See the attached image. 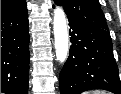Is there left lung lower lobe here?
<instances>
[{
	"mask_svg": "<svg viewBox=\"0 0 121 94\" xmlns=\"http://www.w3.org/2000/svg\"><path fill=\"white\" fill-rule=\"evenodd\" d=\"M68 20L71 46L60 72V94H81L91 89L121 94L109 30L71 17Z\"/></svg>",
	"mask_w": 121,
	"mask_h": 94,
	"instance_id": "1",
	"label": "left lung lower lobe"
}]
</instances>
